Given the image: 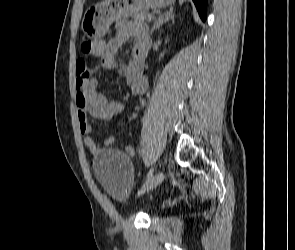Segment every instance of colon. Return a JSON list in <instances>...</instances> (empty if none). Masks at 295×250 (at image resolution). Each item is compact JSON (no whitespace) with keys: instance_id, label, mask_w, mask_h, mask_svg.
<instances>
[{"instance_id":"1","label":"colon","mask_w":295,"mask_h":250,"mask_svg":"<svg viewBox=\"0 0 295 250\" xmlns=\"http://www.w3.org/2000/svg\"><path fill=\"white\" fill-rule=\"evenodd\" d=\"M100 40H85L82 42L81 49L85 54H92L98 49Z\"/></svg>"}]
</instances>
